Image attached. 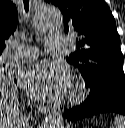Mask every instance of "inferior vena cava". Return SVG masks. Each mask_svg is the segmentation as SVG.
Masks as SVG:
<instances>
[{
    "label": "inferior vena cava",
    "mask_w": 125,
    "mask_h": 128,
    "mask_svg": "<svg viewBox=\"0 0 125 128\" xmlns=\"http://www.w3.org/2000/svg\"><path fill=\"white\" fill-rule=\"evenodd\" d=\"M25 123H26V119L22 118L21 119V125H23V126H21L22 128H24Z\"/></svg>",
    "instance_id": "602c4592"
}]
</instances>
